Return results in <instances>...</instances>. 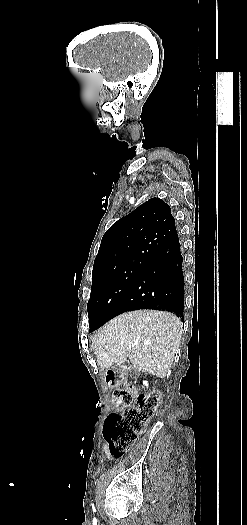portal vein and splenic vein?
<instances>
[{
    "label": "portal vein and splenic vein",
    "mask_w": 247,
    "mask_h": 525,
    "mask_svg": "<svg viewBox=\"0 0 247 525\" xmlns=\"http://www.w3.org/2000/svg\"><path fill=\"white\" fill-rule=\"evenodd\" d=\"M135 346V343H131L130 348H133Z\"/></svg>",
    "instance_id": "18ae733b"
}]
</instances>
